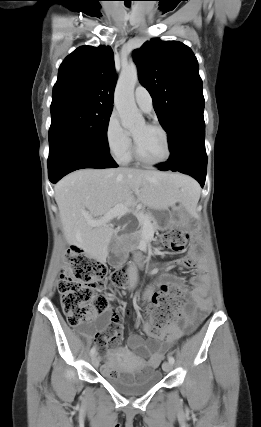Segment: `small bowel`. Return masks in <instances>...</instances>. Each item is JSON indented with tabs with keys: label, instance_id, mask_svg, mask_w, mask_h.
Listing matches in <instances>:
<instances>
[{
	"label": "small bowel",
	"instance_id": "c3829d8e",
	"mask_svg": "<svg viewBox=\"0 0 261 427\" xmlns=\"http://www.w3.org/2000/svg\"><path fill=\"white\" fill-rule=\"evenodd\" d=\"M174 266L187 268H198L199 272L190 279L192 291L190 293L192 304L190 308L182 313L183 325L179 326L173 323L165 328L159 336L152 337L145 341L138 334L131 333L128 336L129 346L136 351V355L128 356V362L134 365L139 373H148L156 369L166 351L182 336L191 333L195 327L203 320L205 314L209 310L210 302L208 300V284L207 277L197 265L193 255H188L178 259L172 263L163 266V269H169ZM172 277L163 272L159 280L151 285L144 294V300L148 301L152 298L156 285H160L163 289L170 284ZM121 317L118 309H111L108 313L101 316L95 327H83L80 333L89 340L96 339L98 347L101 351H105L109 345L117 344L121 330L116 329L111 331L108 326L110 322H117ZM147 330L148 325L144 324ZM147 357L145 360L144 358Z\"/></svg>",
	"mask_w": 261,
	"mask_h": 427
}]
</instances>
